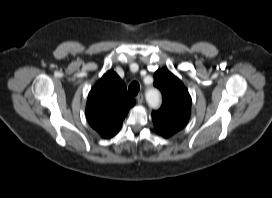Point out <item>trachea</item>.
I'll return each mask as SVG.
<instances>
[{
  "label": "trachea",
  "instance_id": "1",
  "mask_svg": "<svg viewBox=\"0 0 272 198\" xmlns=\"http://www.w3.org/2000/svg\"><path fill=\"white\" fill-rule=\"evenodd\" d=\"M129 93L133 96L137 95L139 90H140V85L137 81H133L130 85H129Z\"/></svg>",
  "mask_w": 272,
  "mask_h": 198
}]
</instances>
